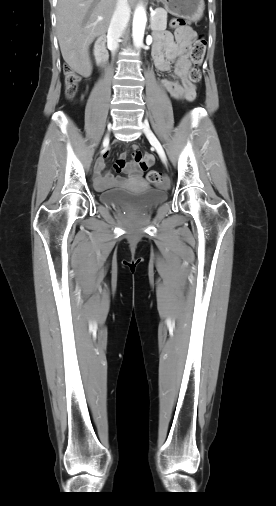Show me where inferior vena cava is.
Listing matches in <instances>:
<instances>
[{"mask_svg": "<svg viewBox=\"0 0 276 506\" xmlns=\"http://www.w3.org/2000/svg\"><path fill=\"white\" fill-rule=\"evenodd\" d=\"M130 19V6L128 0H117L116 8L113 13L109 28H108V45L114 55L117 48L120 37L122 36L125 28Z\"/></svg>", "mask_w": 276, "mask_h": 506, "instance_id": "602c4592", "label": "inferior vena cava"}]
</instances>
